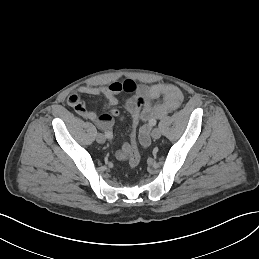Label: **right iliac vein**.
<instances>
[{
  "label": "right iliac vein",
  "instance_id": "obj_1",
  "mask_svg": "<svg viewBox=\"0 0 259 259\" xmlns=\"http://www.w3.org/2000/svg\"><path fill=\"white\" fill-rule=\"evenodd\" d=\"M96 140L98 143H104L106 141V138L103 134H98L97 137H96Z\"/></svg>",
  "mask_w": 259,
  "mask_h": 259
}]
</instances>
